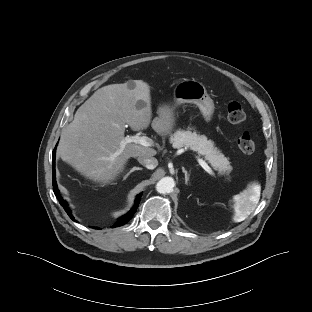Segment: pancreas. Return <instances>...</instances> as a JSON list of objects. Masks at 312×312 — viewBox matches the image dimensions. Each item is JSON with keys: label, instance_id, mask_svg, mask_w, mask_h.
I'll list each match as a JSON object with an SVG mask.
<instances>
[{"label": "pancreas", "instance_id": "obj_1", "mask_svg": "<svg viewBox=\"0 0 312 312\" xmlns=\"http://www.w3.org/2000/svg\"><path fill=\"white\" fill-rule=\"evenodd\" d=\"M174 148H191L203 155L211 166L218 171L220 175L227 177L230 181V172L232 166L229 159L225 157L220 150L214 147V143L208 140L204 135H198L196 132L178 130L170 138Z\"/></svg>", "mask_w": 312, "mask_h": 312}]
</instances>
